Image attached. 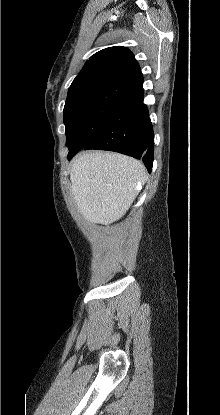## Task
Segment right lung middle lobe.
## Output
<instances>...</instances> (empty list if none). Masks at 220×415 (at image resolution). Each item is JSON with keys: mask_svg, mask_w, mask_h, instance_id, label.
<instances>
[{"mask_svg": "<svg viewBox=\"0 0 220 415\" xmlns=\"http://www.w3.org/2000/svg\"><path fill=\"white\" fill-rule=\"evenodd\" d=\"M140 88L115 78H100L70 86L65 107L66 145L82 148L109 116Z\"/></svg>", "mask_w": 220, "mask_h": 415, "instance_id": "dd1d6c3e", "label": "right lung middle lobe"}]
</instances>
